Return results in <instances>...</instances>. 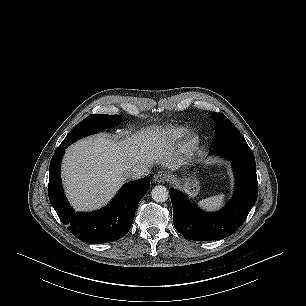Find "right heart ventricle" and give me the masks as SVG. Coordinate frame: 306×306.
Wrapping results in <instances>:
<instances>
[{"instance_id": "e07e8e85", "label": "right heart ventricle", "mask_w": 306, "mask_h": 306, "mask_svg": "<svg viewBox=\"0 0 306 306\" xmlns=\"http://www.w3.org/2000/svg\"><path fill=\"white\" fill-rule=\"evenodd\" d=\"M171 134H172V137L174 139H179L183 136L184 129L183 128H175V129L172 130Z\"/></svg>"}]
</instances>
